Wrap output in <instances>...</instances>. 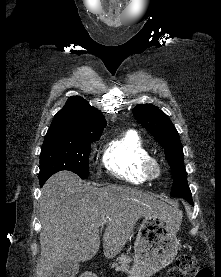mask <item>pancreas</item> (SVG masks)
Masks as SVG:
<instances>
[{
	"label": "pancreas",
	"instance_id": "pancreas-1",
	"mask_svg": "<svg viewBox=\"0 0 221 277\" xmlns=\"http://www.w3.org/2000/svg\"><path fill=\"white\" fill-rule=\"evenodd\" d=\"M118 263H115L114 266H118L121 264V269H126L128 264L132 261L131 258L127 255L122 254L120 257L117 258Z\"/></svg>",
	"mask_w": 221,
	"mask_h": 277
}]
</instances>
